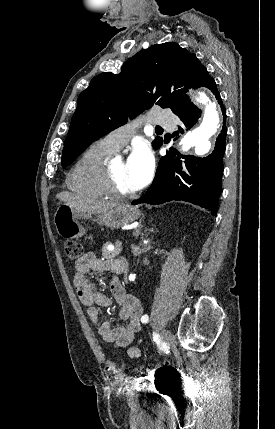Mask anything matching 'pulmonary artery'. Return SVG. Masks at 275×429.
Returning <instances> with one entry per match:
<instances>
[{
	"instance_id": "e3ab8cb5",
	"label": "pulmonary artery",
	"mask_w": 275,
	"mask_h": 429,
	"mask_svg": "<svg viewBox=\"0 0 275 429\" xmlns=\"http://www.w3.org/2000/svg\"><path fill=\"white\" fill-rule=\"evenodd\" d=\"M155 122L166 128H173L176 124V118L173 115L165 113H157L154 116ZM134 132V127H125L115 130L106 135L100 142L107 148L118 151L122 148Z\"/></svg>"
}]
</instances>
